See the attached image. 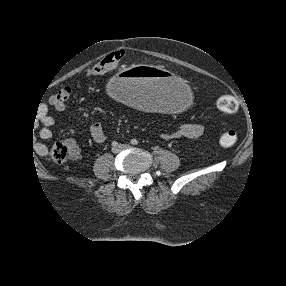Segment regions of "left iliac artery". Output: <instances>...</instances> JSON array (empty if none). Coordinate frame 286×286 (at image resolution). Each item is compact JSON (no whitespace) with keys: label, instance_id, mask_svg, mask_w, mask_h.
I'll list each match as a JSON object with an SVG mask.
<instances>
[{"label":"left iliac artery","instance_id":"1","mask_svg":"<svg viewBox=\"0 0 286 286\" xmlns=\"http://www.w3.org/2000/svg\"><path fill=\"white\" fill-rule=\"evenodd\" d=\"M131 144H133V145H138V144H139V141L136 140V139H132V140H131Z\"/></svg>","mask_w":286,"mask_h":286}]
</instances>
